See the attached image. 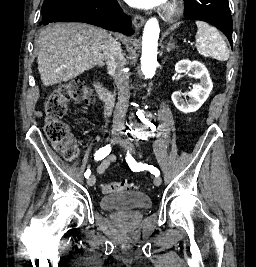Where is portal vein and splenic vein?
Instances as JSON below:
<instances>
[{"instance_id": "obj_1", "label": "portal vein and splenic vein", "mask_w": 256, "mask_h": 267, "mask_svg": "<svg viewBox=\"0 0 256 267\" xmlns=\"http://www.w3.org/2000/svg\"><path fill=\"white\" fill-rule=\"evenodd\" d=\"M199 52H202V49H199Z\"/></svg>"}]
</instances>
